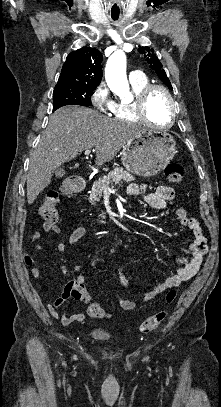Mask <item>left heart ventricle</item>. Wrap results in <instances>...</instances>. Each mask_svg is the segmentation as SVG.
I'll return each instance as SVG.
<instances>
[{
    "label": "left heart ventricle",
    "mask_w": 221,
    "mask_h": 407,
    "mask_svg": "<svg viewBox=\"0 0 221 407\" xmlns=\"http://www.w3.org/2000/svg\"><path fill=\"white\" fill-rule=\"evenodd\" d=\"M147 114L154 123L162 125L169 123L171 106L164 93L158 91L152 94L147 104Z\"/></svg>",
    "instance_id": "b2bd125f"
}]
</instances>
